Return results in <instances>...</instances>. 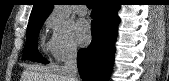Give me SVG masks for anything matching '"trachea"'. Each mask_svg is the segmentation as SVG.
Segmentation results:
<instances>
[{
	"label": "trachea",
	"instance_id": "trachea-1",
	"mask_svg": "<svg viewBox=\"0 0 169 81\" xmlns=\"http://www.w3.org/2000/svg\"><path fill=\"white\" fill-rule=\"evenodd\" d=\"M84 3H85L84 5H87L88 7H91V6H92L91 1H86V2H84Z\"/></svg>",
	"mask_w": 169,
	"mask_h": 81
}]
</instances>
